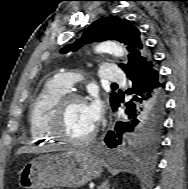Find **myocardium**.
<instances>
[{
  "label": "myocardium",
  "instance_id": "1",
  "mask_svg": "<svg viewBox=\"0 0 188 189\" xmlns=\"http://www.w3.org/2000/svg\"><path fill=\"white\" fill-rule=\"evenodd\" d=\"M72 102H85V98L75 92H66L55 101L48 117V131L56 139L68 144L89 143L95 138L97 127H94L87 135L80 138L71 137L63 131L65 112Z\"/></svg>",
  "mask_w": 188,
  "mask_h": 189
}]
</instances>
